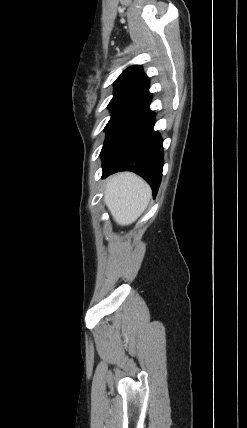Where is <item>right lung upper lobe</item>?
<instances>
[{"label": "right lung upper lobe", "instance_id": "cb5924a9", "mask_svg": "<svg viewBox=\"0 0 247 428\" xmlns=\"http://www.w3.org/2000/svg\"><path fill=\"white\" fill-rule=\"evenodd\" d=\"M115 92L143 94L149 88V79L139 65L128 67L114 83Z\"/></svg>", "mask_w": 247, "mask_h": 428}]
</instances>
